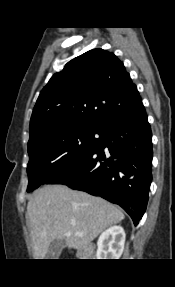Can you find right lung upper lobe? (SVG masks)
Returning a JSON list of instances; mask_svg holds the SVG:
<instances>
[{
    "label": "right lung upper lobe",
    "mask_w": 175,
    "mask_h": 287,
    "mask_svg": "<svg viewBox=\"0 0 175 287\" xmlns=\"http://www.w3.org/2000/svg\"><path fill=\"white\" fill-rule=\"evenodd\" d=\"M142 103L113 53L97 48L68 62L40 92L28 144L82 125H104Z\"/></svg>",
    "instance_id": "obj_1"
}]
</instances>
